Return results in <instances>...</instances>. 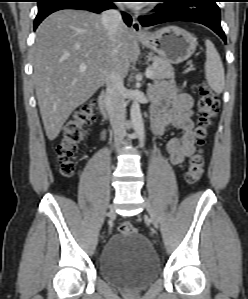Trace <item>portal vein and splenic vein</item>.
Here are the masks:
<instances>
[{
	"instance_id": "18ae733b",
	"label": "portal vein and splenic vein",
	"mask_w": 248,
	"mask_h": 299,
	"mask_svg": "<svg viewBox=\"0 0 248 299\" xmlns=\"http://www.w3.org/2000/svg\"><path fill=\"white\" fill-rule=\"evenodd\" d=\"M85 68H86V65L83 63V64L80 66V69H81V70H84ZM145 75H146L147 78H151L152 75H153L152 70L148 68V69L146 70Z\"/></svg>"
}]
</instances>
